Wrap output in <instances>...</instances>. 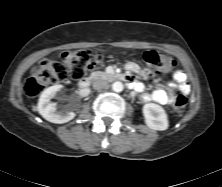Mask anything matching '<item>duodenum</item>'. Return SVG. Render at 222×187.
Listing matches in <instances>:
<instances>
[{"label":"duodenum","mask_w":222,"mask_h":187,"mask_svg":"<svg viewBox=\"0 0 222 187\" xmlns=\"http://www.w3.org/2000/svg\"><path fill=\"white\" fill-rule=\"evenodd\" d=\"M112 78L118 79L123 81L124 83H126L129 86H133L134 85V80L133 77L130 75H116V74H112L110 75ZM90 87V81L89 80H82L79 84V90L81 93L86 94L89 90Z\"/></svg>","instance_id":"410a0bca"}]
</instances>
